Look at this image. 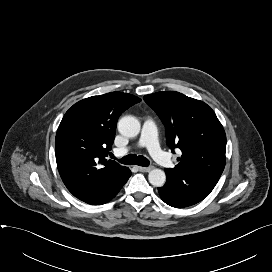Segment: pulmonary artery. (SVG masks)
Instances as JSON below:
<instances>
[{
	"label": "pulmonary artery",
	"instance_id": "pulmonary-artery-1",
	"mask_svg": "<svg viewBox=\"0 0 272 272\" xmlns=\"http://www.w3.org/2000/svg\"><path fill=\"white\" fill-rule=\"evenodd\" d=\"M139 146L146 147L151 156L162 166H173L172 159L159 146L157 127L152 119H147L143 123L141 136L139 139ZM128 150V148H122L117 150V153L124 154Z\"/></svg>",
	"mask_w": 272,
	"mask_h": 272
}]
</instances>
